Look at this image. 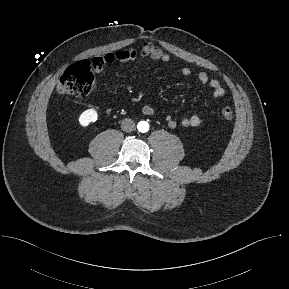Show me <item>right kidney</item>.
Returning a JSON list of instances; mask_svg holds the SVG:
<instances>
[{
  "instance_id": "1",
  "label": "right kidney",
  "mask_w": 289,
  "mask_h": 289,
  "mask_svg": "<svg viewBox=\"0 0 289 289\" xmlns=\"http://www.w3.org/2000/svg\"><path fill=\"white\" fill-rule=\"evenodd\" d=\"M98 119L97 111L94 109L85 110L79 117V123L83 127L89 126L91 123L96 122Z\"/></svg>"
}]
</instances>
